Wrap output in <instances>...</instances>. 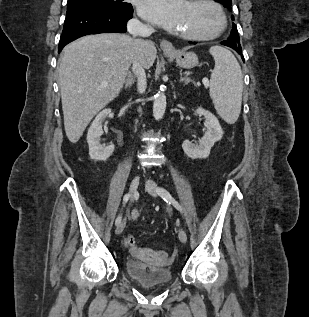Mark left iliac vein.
Returning a JSON list of instances; mask_svg holds the SVG:
<instances>
[{
	"instance_id": "obj_1",
	"label": "left iliac vein",
	"mask_w": 309,
	"mask_h": 317,
	"mask_svg": "<svg viewBox=\"0 0 309 317\" xmlns=\"http://www.w3.org/2000/svg\"><path fill=\"white\" fill-rule=\"evenodd\" d=\"M145 188L150 195H152L154 197L157 196V186H156L155 182H153L152 180H147L146 184H145ZM178 236H179V239L182 243L187 242V234L183 228L179 229Z\"/></svg>"
}]
</instances>
